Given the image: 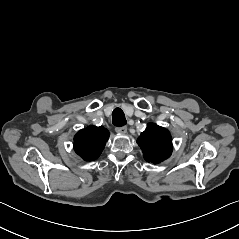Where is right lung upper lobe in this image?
<instances>
[{
  "label": "right lung upper lobe",
  "instance_id": "obj_1",
  "mask_svg": "<svg viewBox=\"0 0 239 239\" xmlns=\"http://www.w3.org/2000/svg\"><path fill=\"white\" fill-rule=\"evenodd\" d=\"M109 138V131L103 126L81 129L74 137V150L85 161L99 157Z\"/></svg>",
  "mask_w": 239,
  "mask_h": 239
}]
</instances>
